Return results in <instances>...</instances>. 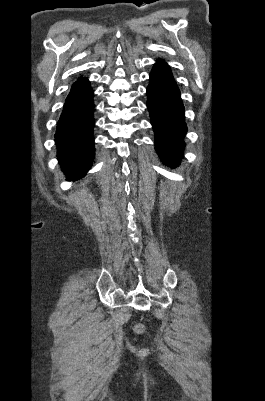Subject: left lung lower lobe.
<instances>
[{"label":"left lung lower lobe","instance_id":"obj_1","mask_svg":"<svg viewBox=\"0 0 265 401\" xmlns=\"http://www.w3.org/2000/svg\"><path fill=\"white\" fill-rule=\"evenodd\" d=\"M147 107L155 131L156 151L169 166L179 164L187 131L180 91L169 66L158 60L150 73Z\"/></svg>","mask_w":265,"mask_h":401}]
</instances>
